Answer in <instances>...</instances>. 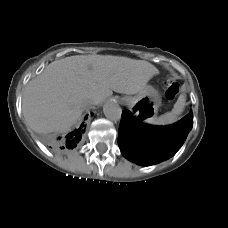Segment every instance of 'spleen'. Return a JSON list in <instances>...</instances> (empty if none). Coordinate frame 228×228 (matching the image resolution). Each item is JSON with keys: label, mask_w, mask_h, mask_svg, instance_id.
I'll list each match as a JSON object with an SVG mask.
<instances>
[{"label": "spleen", "mask_w": 228, "mask_h": 228, "mask_svg": "<svg viewBox=\"0 0 228 228\" xmlns=\"http://www.w3.org/2000/svg\"><path fill=\"white\" fill-rule=\"evenodd\" d=\"M186 100V96L181 94L174 104L172 111L167 112L159 117H154L149 122L158 125L170 124L177 120V116L182 112L184 108V103Z\"/></svg>", "instance_id": "obj_1"}]
</instances>
